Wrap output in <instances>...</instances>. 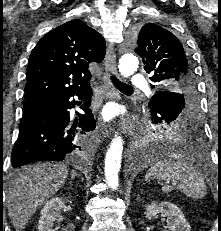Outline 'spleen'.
<instances>
[{
    "label": "spleen",
    "instance_id": "1",
    "mask_svg": "<svg viewBox=\"0 0 221 231\" xmlns=\"http://www.w3.org/2000/svg\"><path fill=\"white\" fill-rule=\"evenodd\" d=\"M149 179L173 181L178 190L194 199H202L207 193L202 173L187 159L177 155L156 160L146 173V180ZM173 188L166 184L162 190L170 192Z\"/></svg>",
    "mask_w": 221,
    "mask_h": 231
}]
</instances>
